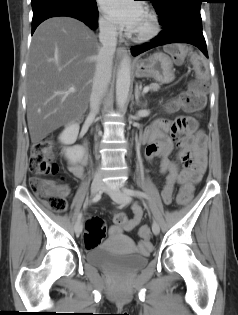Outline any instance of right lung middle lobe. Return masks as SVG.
I'll use <instances>...</instances> for the list:
<instances>
[{"mask_svg":"<svg viewBox=\"0 0 238 315\" xmlns=\"http://www.w3.org/2000/svg\"><path fill=\"white\" fill-rule=\"evenodd\" d=\"M74 1L79 2L81 4H85V5L95 4L94 0H74Z\"/></svg>","mask_w":238,"mask_h":315,"instance_id":"obj_1","label":"right lung middle lobe"}]
</instances>
